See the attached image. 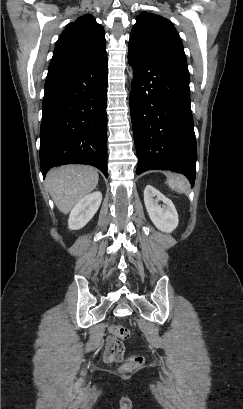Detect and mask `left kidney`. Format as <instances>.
<instances>
[{"label":"left kidney","instance_id":"left-kidney-1","mask_svg":"<svg viewBox=\"0 0 243 409\" xmlns=\"http://www.w3.org/2000/svg\"><path fill=\"white\" fill-rule=\"evenodd\" d=\"M159 201L164 206L161 207ZM144 203L151 221L159 230L170 233L178 226V213L173 202L151 185L144 190Z\"/></svg>","mask_w":243,"mask_h":409}]
</instances>
